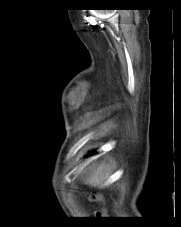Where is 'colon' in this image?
Segmentation results:
<instances>
[{
    "label": "colon",
    "instance_id": "5ec220e1",
    "mask_svg": "<svg viewBox=\"0 0 181 227\" xmlns=\"http://www.w3.org/2000/svg\"><path fill=\"white\" fill-rule=\"evenodd\" d=\"M93 199H96L98 201H101V197H99V196H96V197L94 196ZM102 213L103 212H99L98 215H101Z\"/></svg>",
    "mask_w": 181,
    "mask_h": 227
}]
</instances>
